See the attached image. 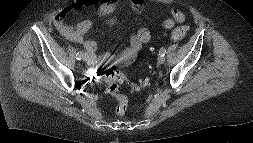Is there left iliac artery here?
Masks as SVG:
<instances>
[{"label":"left iliac artery","mask_w":253,"mask_h":143,"mask_svg":"<svg viewBox=\"0 0 253 143\" xmlns=\"http://www.w3.org/2000/svg\"><path fill=\"white\" fill-rule=\"evenodd\" d=\"M166 53V49L165 48H161L159 51V55L164 56Z\"/></svg>","instance_id":"left-iliac-artery-1"}]
</instances>
